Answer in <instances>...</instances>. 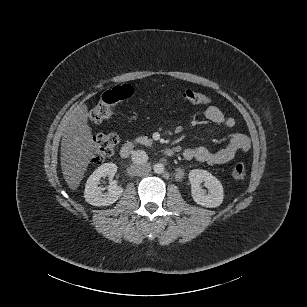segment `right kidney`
I'll list each match as a JSON object with an SVG mask.
<instances>
[{
	"label": "right kidney",
	"instance_id": "1",
	"mask_svg": "<svg viewBox=\"0 0 307 307\" xmlns=\"http://www.w3.org/2000/svg\"><path fill=\"white\" fill-rule=\"evenodd\" d=\"M117 166L114 163H104L98 167L88 178L84 197L87 203L94 206H107L113 204L122 195L123 188L113 180ZM108 176L110 179L108 192L102 193L104 188L98 186L101 177Z\"/></svg>",
	"mask_w": 307,
	"mask_h": 307
}]
</instances>
